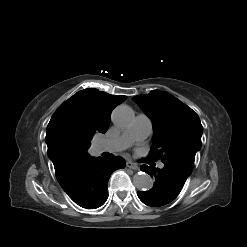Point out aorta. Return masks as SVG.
<instances>
[{
  "instance_id": "1",
  "label": "aorta",
  "mask_w": 247,
  "mask_h": 247,
  "mask_svg": "<svg viewBox=\"0 0 247 247\" xmlns=\"http://www.w3.org/2000/svg\"><path fill=\"white\" fill-rule=\"evenodd\" d=\"M133 119L134 113L129 106L120 105L113 110L112 120L118 127H128ZM133 184L138 190L147 191L153 187V180L148 174L141 172L133 176Z\"/></svg>"
}]
</instances>
